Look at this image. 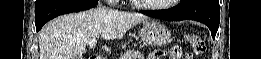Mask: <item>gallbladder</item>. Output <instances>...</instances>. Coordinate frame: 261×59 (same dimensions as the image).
I'll return each mask as SVG.
<instances>
[{
  "label": "gallbladder",
  "instance_id": "gallbladder-1",
  "mask_svg": "<svg viewBox=\"0 0 261 59\" xmlns=\"http://www.w3.org/2000/svg\"><path fill=\"white\" fill-rule=\"evenodd\" d=\"M75 59H79V57L77 56V57H75Z\"/></svg>",
  "mask_w": 261,
  "mask_h": 59
}]
</instances>
